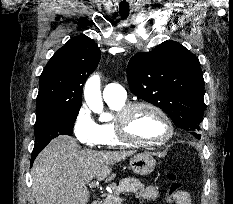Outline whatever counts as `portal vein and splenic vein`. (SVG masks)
I'll return each instance as SVG.
<instances>
[{
	"instance_id": "1",
	"label": "portal vein and splenic vein",
	"mask_w": 233,
	"mask_h": 204,
	"mask_svg": "<svg viewBox=\"0 0 233 204\" xmlns=\"http://www.w3.org/2000/svg\"><path fill=\"white\" fill-rule=\"evenodd\" d=\"M95 184H96L95 182H91V183L89 184V186H90V187H94ZM121 200H122V199H120V201H121Z\"/></svg>"
}]
</instances>
